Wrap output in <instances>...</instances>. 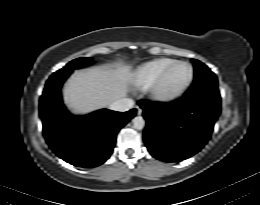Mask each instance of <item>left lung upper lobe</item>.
Masks as SVG:
<instances>
[{"instance_id":"obj_1","label":"left lung upper lobe","mask_w":260,"mask_h":205,"mask_svg":"<svg viewBox=\"0 0 260 205\" xmlns=\"http://www.w3.org/2000/svg\"><path fill=\"white\" fill-rule=\"evenodd\" d=\"M192 61L194 63L195 77L192 86L186 94L209 96L220 100L218 82L215 74L200 61L196 59H192Z\"/></svg>"}]
</instances>
